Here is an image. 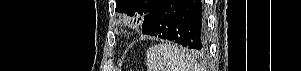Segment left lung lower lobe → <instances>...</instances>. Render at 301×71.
Returning a JSON list of instances; mask_svg holds the SVG:
<instances>
[{"instance_id": "obj_1", "label": "left lung lower lobe", "mask_w": 301, "mask_h": 71, "mask_svg": "<svg viewBox=\"0 0 301 71\" xmlns=\"http://www.w3.org/2000/svg\"><path fill=\"white\" fill-rule=\"evenodd\" d=\"M142 33L202 51L206 18L202 0H159L142 24Z\"/></svg>"}]
</instances>
